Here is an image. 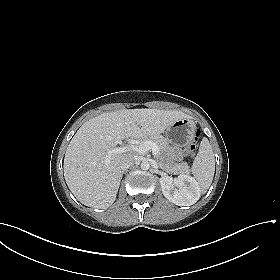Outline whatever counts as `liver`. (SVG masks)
Returning a JSON list of instances; mask_svg holds the SVG:
<instances>
[{
  "instance_id": "liver-1",
  "label": "liver",
  "mask_w": 280,
  "mask_h": 280,
  "mask_svg": "<svg viewBox=\"0 0 280 280\" xmlns=\"http://www.w3.org/2000/svg\"><path fill=\"white\" fill-rule=\"evenodd\" d=\"M190 118L176 110L122 109L102 113L85 122L70 141L64 158L65 181L79 202L105 209L116 200L122 178V153L105 161L108 151L126 138L163 133L175 121Z\"/></svg>"
}]
</instances>
